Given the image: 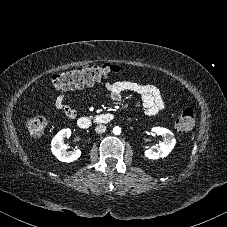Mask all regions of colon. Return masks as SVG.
Returning a JSON list of instances; mask_svg holds the SVG:
<instances>
[{"label":"colon","mask_w":227,"mask_h":227,"mask_svg":"<svg viewBox=\"0 0 227 227\" xmlns=\"http://www.w3.org/2000/svg\"><path fill=\"white\" fill-rule=\"evenodd\" d=\"M118 73H120V68L116 65H91L53 75L52 85L61 91L79 90ZM24 124L31 135L37 136L45 130L47 120L43 116H29L25 118ZM194 125V110L190 107L185 108L176 119V129L179 132H188Z\"/></svg>","instance_id":"obj_1"}]
</instances>
